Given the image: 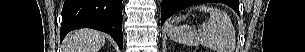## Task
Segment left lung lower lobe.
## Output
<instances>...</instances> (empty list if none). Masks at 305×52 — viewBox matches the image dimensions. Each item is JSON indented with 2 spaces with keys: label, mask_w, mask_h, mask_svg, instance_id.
<instances>
[{
  "label": "left lung lower lobe",
  "mask_w": 305,
  "mask_h": 52,
  "mask_svg": "<svg viewBox=\"0 0 305 52\" xmlns=\"http://www.w3.org/2000/svg\"><path fill=\"white\" fill-rule=\"evenodd\" d=\"M217 2L216 0H162L161 7V23L164 24L165 20L172 16L177 11L190 5L200 3ZM231 7V6H230ZM239 13V3L236 1L232 7Z\"/></svg>",
  "instance_id": "1"
}]
</instances>
